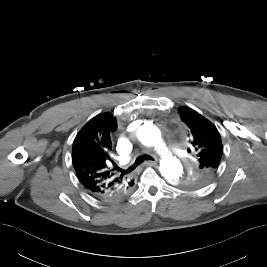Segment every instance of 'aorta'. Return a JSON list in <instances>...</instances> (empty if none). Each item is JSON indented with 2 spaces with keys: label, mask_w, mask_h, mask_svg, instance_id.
I'll use <instances>...</instances> for the list:
<instances>
[{
  "label": "aorta",
  "mask_w": 267,
  "mask_h": 267,
  "mask_svg": "<svg viewBox=\"0 0 267 267\" xmlns=\"http://www.w3.org/2000/svg\"><path fill=\"white\" fill-rule=\"evenodd\" d=\"M137 136L139 141L148 147L159 146L161 142L160 130L152 124L142 125L137 131ZM161 152L162 158L159 167L161 175L169 183L174 185L179 184L183 174V166L180 160L169 153Z\"/></svg>",
  "instance_id": "obj_1"
}]
</instances>
